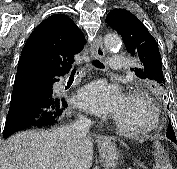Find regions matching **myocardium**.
<instances>
[{"instance_id": "1", "label": "myocardium", "mask_w": 177, "mask_h": 169, "mask_svg": "<svg viewBox=\"0 0 177 169\" xmlns=\"http://www.w3.org/2000/svg\"><path fill=\"white\" fill-rule=\"evenodd\" d=\"M126 99L141 103V105L148 111L149 122L146 125L132 128L122 124L114 118L113 122L116 128L123 134L133 136L146 135L155 131L159 126L160 116L157 107L151 102L148 96L140 91H131L126 95Z\"/></svg>"}]
</instances>
